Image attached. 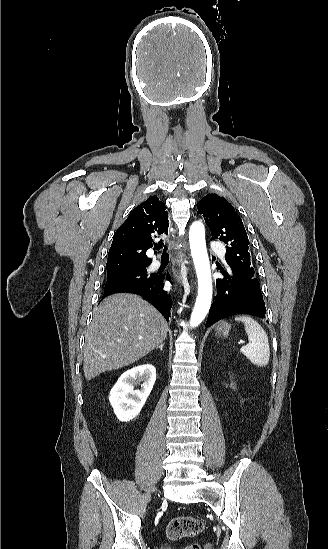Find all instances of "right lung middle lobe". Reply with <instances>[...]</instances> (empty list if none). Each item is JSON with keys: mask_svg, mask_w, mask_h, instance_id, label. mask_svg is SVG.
Returning a JSON list of instances; mask_svg holds the SVG:
<instances>
[{"mask_svg": "<svg viewBox=\"0 0 328 549\" xmlns=\"http://www.w3.org/2000/svg\"><path fill=\"white\" fill-rule=\"evenodd\" d=\"M155 273H148L146 267L126 269L114 273H107L104 292H109L131 284H145Z\"/></svg>", "mask_w": 328, "mask_h": 549, "instance_id": "1", "label": "right lung middle lobe"}]
</instances>
